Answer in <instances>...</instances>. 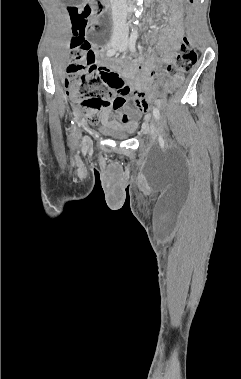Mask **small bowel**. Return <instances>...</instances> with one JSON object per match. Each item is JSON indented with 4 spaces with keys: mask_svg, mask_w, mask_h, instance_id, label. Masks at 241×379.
Instances as JSON below:
<instances>
[{
    "mask_svg": "<svg viewBox=\"0 0 241 379\" xmlns=\"http://www.w3.org/2000/svg\"><path fill=\"white\" fill-rule=\"evenodd\" d=\"M182 1L168 0L171 12L169 25L163 29L162 34L157 40V49L161 54L162 61L165 63L173 62L174 53L178 49L183 37ZM152 68V63L141 67L130 66L123 72V78L113 71L128 89V85L135 89H129L130 92H127L126 95L117 94L114 104L110 107V111L104 115L103 120L113 119L117 124L125 128H136L141 115H147L148 109L151 108V101H144V95L151 88L149 80Z\"/></svg>",
    "mask_w": 241,
    "mask_h": 379,
    "instance_id": "1",
    "label": "small bowel"
}]
</instances>
